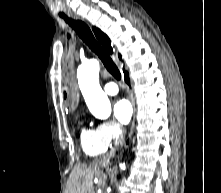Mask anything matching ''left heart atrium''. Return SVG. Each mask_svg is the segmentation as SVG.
I'll list each match as a JSON object with an SVG mask.
<instances>
[{"instance_id": "1", "label": "left heart atrium", "mask_w": 221, "mask_h": 193, "mask_svg": "<svg viewBox=\"0 0 221 193\" xmlns=\"http://www.w3.org/2000/svg\"><path fill=\"white\" fill-rule=\"evenodd\" d=\"M131 103L127 99H118L114 104V115L123 124H127L132 116Z\"/></svg>"}]
</instances>
